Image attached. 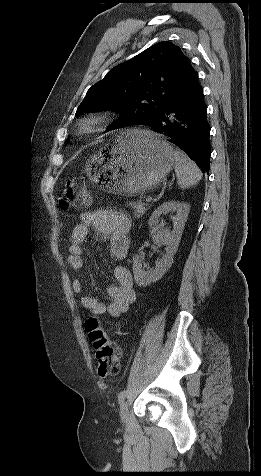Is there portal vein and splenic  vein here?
<instances>
[{
	"instance_id": "obj_1",
	"label": "portal vein and splenic vein",
	"mask_w": 261,
	"mask_h": 476,
	"mask_svg": "<svg viewBox=\"0 0 261 476\" xmlns=\"http://www.w3.org/2000/svg\"><path fill=\"white\" fill-rule=\"evenodd\" d=\"M152 200H153V197L151 195H148L147 198H146V201L151 202Z\"/></svg>"
}]
</instances>
